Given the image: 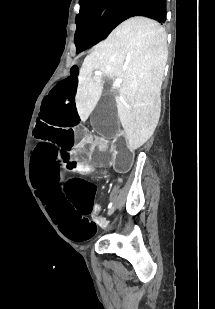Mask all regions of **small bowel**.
<instances>
[{
    "label": "small bowel",
    "instance_id": "1",
    "mask_svg": "<svg viewBox=\"0 0 215 309\" xmlns=\"http://www.w3.org/2000/svg\"><path fill=\"white\" fill-rule=\"evenodd\" d=\"M101 211V208L99 206L95 205V209L93 211V216L96 217Z\"/></svg>",
    "mask_w": 215,
    "mask_h": 309
}]
</instances>
